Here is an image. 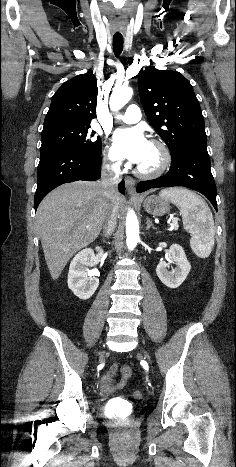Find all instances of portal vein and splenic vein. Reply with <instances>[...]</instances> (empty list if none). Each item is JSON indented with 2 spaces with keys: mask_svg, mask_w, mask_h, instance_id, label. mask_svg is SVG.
I'll use <instances>...</instances> for the list:
<instances>
[{
  "mask_svg": "<svg viewBox=\"0 0 236 467\" xmlns=\"http://www.w3.org/2000/svg\"><path fill=\"white\" fill-rule=\"evenodd\" d=\"M172 229H177L178 228V219L173 220V225L171 227Z\"/></svg>",
  "mask_w": 236,
  "mask_h": 467,
  "instance_id": "obj_1",
  "label": "portal vein and splenic vein"
}]
</instances>
